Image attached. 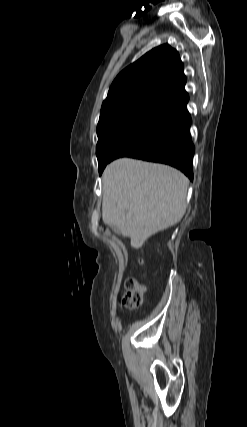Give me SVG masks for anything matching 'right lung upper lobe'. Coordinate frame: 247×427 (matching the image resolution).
<instances>
[{
    "mask_svg": "<svg viewBox=\"0 0 247 427\" xmlns=\"http://www.w3.org/2000/svg\"><path fill=\"white\" fill-rule=\"evenodd\" d=\"M186 77L178 52L168 44L156 47L121 71L113 81L101 114L128 109H156L185 92Z\"/></svg>",
    "mask_w": 247,
    "mask_h": 427,
    "instance_id": "1",
    "label": "right lung upper lobe"
}]
</instances>
